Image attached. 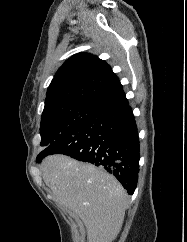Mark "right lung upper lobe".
Listing matches in <instances>:
<instances>
[{
	"label": "right lung upper lobe",
	"instance_id": "cb5924a9",
	"mask_svg": "<svg viewBox=\"0 0 187 242\" xmlns=\"http://www.w3.org/2000/svg\"><path fill=\"white\" fill-rule=\"evenodd\" d=\"M125 96L110 66L98 57L79 53L56 72L47 90L44 111L74 103L105 107Z\"/></svg>",
	"mask_w": 187,
	"mask_h": 242
}]
</instances>
